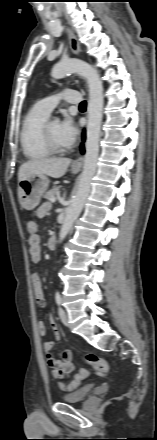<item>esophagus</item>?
<instances>
[{
  "label": "esophagus",
  "instance_id": "34e87169",
  "mask_svg": "<svg viewBox=\"0 0 157 440\" xmlns=\"http://www.w3.org/2000/svg\"><path fill=\"white\" fill-rule=\"evenodd\" d=\"M67 32H68V35H69V42H70L71 51L74 54H79L80 53V44H79L76 36L74 35V33L69 28H67ZM82 165H83V157L77 158L72 163V167L73 168H81Z\"/></svg>",
  "mask_w": 157,
  "mask_h": 440
}]
</instances>
